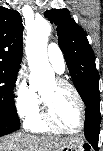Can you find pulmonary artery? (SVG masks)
<instances>
[{"mask_svg": "<svg viewBox=\"0 0 103 151\" xmlns=\"http://www.w3.org/2000/svg\"><path fill=\"white\" fill-rule=\"evenodd\" d=\"M47 57L54 69L58 73H63L65 70V60L59 46L55 43H50L47 49Z\"/></svg>", "mask_w": 103, "mask_h": 151, "instance_id": "1", "label": "pulmonary artery"}]
</instances>
